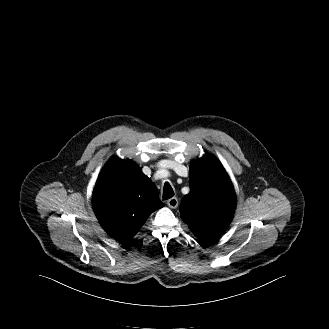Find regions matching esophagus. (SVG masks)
Instances as JSON below:
<instances>
[{
  "instance_id": "esophagus-1",
  "label": "esophagus",
  "mask_w": 329,
  "mask_h": 329,
  "mask_svg": "<svg viewBox=\"0 0 329 329\" xmlns=\"http://www.w3.org/2000/svg\"><path fill=\"white\" fill-rule=\"evenodd\" d=\"M178 204V199L176 197H173L167 201V205L173 209L177 208Z\"/></svg>"
}]
</instances>
